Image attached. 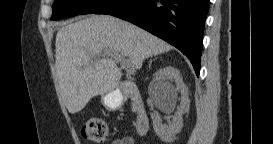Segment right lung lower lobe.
<instances>
[{
  "label": "right lung lower lobe",
  "instance_id": "obj_1",
  "mask_svg": "<svg viewBox=\"0 0 273 144\" xmlns=\"http://www.w3.org/2000/svg\"><path fill=\"white\" fill-rule=\"evenodd\" d=\"M209 4L210 0H109L94 13L127 20L166 40L189 58L199 75Z\"/></svg>",
  "mask_w": 273,
  "mask_h": 144
}]
</instances>
